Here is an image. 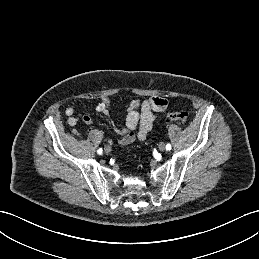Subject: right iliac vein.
<instances>
[{"label":"right iliac vein","mask_w":259,"mask_h":259,"mask_svg":"<svg viewBox=\"0 0 259 259\" xmlns=\"http://www.w3.org/2000/svg\"><path fill=\"white\" fill-rule=\"evenodd\" d=\"M104 151H105V153L109 154V153H111L112 149L110 146L107 145V146H105Z\"/></svg>","instance_id":"1"}]
</instances>
